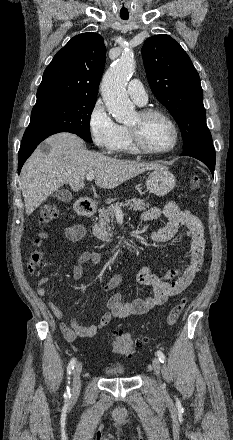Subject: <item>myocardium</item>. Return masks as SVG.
I'll use <instances>...</instances> for the list:
<instances>
[{
	"instance_id": "f54148a6",
	"label": "myocardium",
	"mask_w": 233,
	"mask_h": 440,
	"mask_svg": "<svg viewBox=\"0 0 233 440\" xmlns=\"http://www.w3.org/2000/svg\"><path fill=\"white\" fill-rule=\"evenodd\" d=\"M138 115L142 119H148L152 116H160V117L164 118L171 126V128L173 130V136H174L173 142L170 147L163 149V150H153L145 144L143 137H142V133L139 130L128 126L127 129H128L129 135L131 137L133 147L135 148V150L138 153H141L144 155L158 156V155H164V154L170 153L177 147L178 142H179V129H178L175 121L172 119V117L169 114H167L163 110H160L157 108H144L138 112Z\"/></svg>"
}]
</instances>
